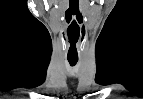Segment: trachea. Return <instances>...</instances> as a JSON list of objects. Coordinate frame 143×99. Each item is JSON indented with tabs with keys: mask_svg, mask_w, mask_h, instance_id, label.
<instances>
[{
	"mask_svg": "<svg viewBox=\"0 0 143 99\" xmlns=\"http://www.w3.org/2000/svg\"><path fill=\"white\" fill-rule=\"evenodd\" d=\"M71 66H75L77 63V60H68Z\"/></svg>",
	"mask_w": 143,
	"mask_h": 99,
	"instance_id": "3493384b",
	"label": "trachea"
}]
</instances>
